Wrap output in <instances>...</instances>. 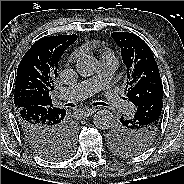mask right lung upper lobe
Instances as JSON below:
<instances>
[{
    "mask_svg": "<svg viewBox=\"0 0 184 184\" xmlns=\"http://www.w3.org/2000/svg\"><path fill=\"white\" fill-rule=\"evenodd\" d=\"M77 35L44 37L26 52L17 69L14 104L18 109L31 105L53 106L50 91L54 89L58 61L73 44Z\"/></svg>",
    "mask_w": 184,
    "mask_h": 184,
    "instance_id": "obj_1",
    "label": "right lung upper lobe"
}]
</instances>
